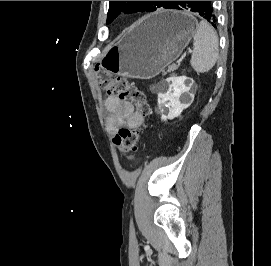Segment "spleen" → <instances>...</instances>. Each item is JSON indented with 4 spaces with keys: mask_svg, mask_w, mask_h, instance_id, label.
<instances>
[{
    "mask_svg": "<svg viewBox=\"0 0 271 266\" xmlns=\"http://www.w3.org/2000/svg\"><path fill=\"white\" fill-rule=\"evenodd\" d=\"M194 51L190 64L198 73H206L213 68L218 58V36L213 27L202 20L193 34Z\"/></svg>",
    "mask_w": 271,
    "mask_h": 266,
    "instance_id": "3e777b00",
    "label": "spleen"
}]
</instances>
